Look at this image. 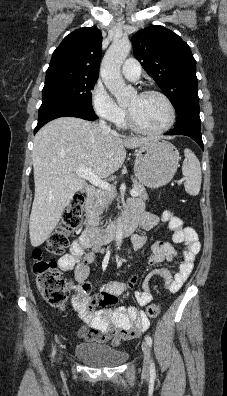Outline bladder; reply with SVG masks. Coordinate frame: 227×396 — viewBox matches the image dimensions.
Segmentation results:
<instances>
[{"mask_svg": "<svg viewBox=\"0 0 227 396\" xmlns=\"http://www.w3.org/2000/svg\"><path fill=\"white\" fill-rule=\"evenodd\" d=\"M74 353L81 361L95 367H116L125 363L128 353L94 342H82L75 346Z\"/></svg>", "mask_w": 227, "mask_h": 396, "instance_id": "bladder-1", "label": "bladder"}]
</instances>
